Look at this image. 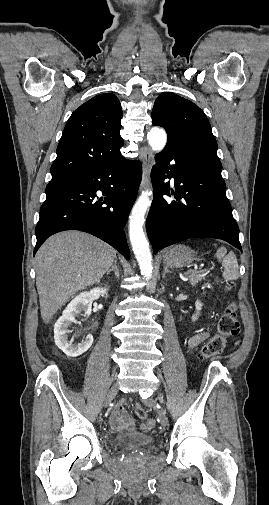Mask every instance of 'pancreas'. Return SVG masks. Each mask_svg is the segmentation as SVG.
Listing matches in <instances>:
<instances>
[{
    "mask_svg": "<svg viewBox=\"0 0 269 505\" xmlns=\"http://www.w3.org/2000/svg\"><path fill=\"white\" fill-rule=\"evenodd\" d=\"M206 275L205 271H192L188 273L189 281L191 285L195 286L198 282H200Z\"/></svg>",
    "mask_w": 269,
    "mask_h": 505,
    "instance_id": "pancreas-1",
    "label": "pancreas"
}]
</instances>
